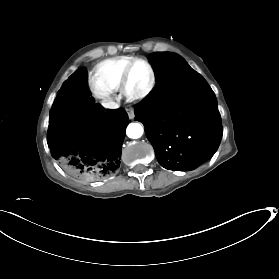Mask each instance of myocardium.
Returning a JSON list of instances; mask_svg holds the SVG:
<instances>
[{"label":"myocardium","mask_w":279,"mask_h":279,"mask_svg":"<svg viewBox=\"0 0 279 279\" xmlns=\"http://www.w3.org/2000/svg\"><path fill=\"white\" fill-rule=\"evenodd\" d=\"M136 62L144 63L148 67V69L150 71V75H151V79H150V83H149L148 87L144 91H142L141 93H138V94L132 93L129 89L130 70H131L132 65ZM156 83H157V76H156V71H155L153 65L146 58L132 57L126 63V65L124 66V69L122 71L120 91L128 100L140 101V100L147 98L153 92V90L156 87Z\"/></svg>","instance_id":"obj_1"}]
</instances>
